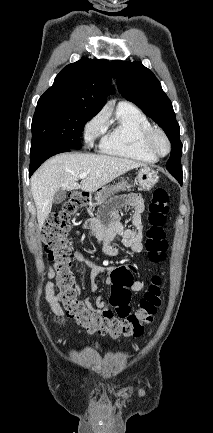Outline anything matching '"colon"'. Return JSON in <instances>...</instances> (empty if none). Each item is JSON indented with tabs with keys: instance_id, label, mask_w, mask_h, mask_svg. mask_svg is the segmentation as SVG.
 I'll return each instance as SVG.
<instances>
[{
	"instance_id": "colon-1",
	"label": "colon",
	"mask_w": 213,
	"mask_h": 433,
	"mask_svg": "<svg viewBox=\"0 0 213 433\" xmlns=\"http://www.w3.org/2000/svg\"><path fill=\"white\" fill-rule=\"evenodd\" d=\"M169 194L163 188L154 190L149 204L148 223L145 247L149 259L160 262L165 259L168 243L165 225L169 212ZM88 204V197L80 191L69 194L62 209L52 213L44 227V249L56 272V284L60 289L59 300L69 317L90 332L112 337L139 336L144 327L152 322L162 305L161 279L154 276L139 301L138 308L132 312L130 307V286L134 274L130 267L119 266L111 276L112 289L110 304L114 311L98 312L78 299L71 272L73 263L71 250L66 241L73 217Z\"/></svg>"
}]
</instances>
